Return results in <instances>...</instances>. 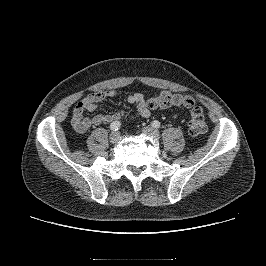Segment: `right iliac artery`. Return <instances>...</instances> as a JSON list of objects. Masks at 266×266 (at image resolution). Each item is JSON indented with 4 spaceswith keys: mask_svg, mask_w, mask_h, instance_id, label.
<instances>
[{
    "mask_svg": "<svg viewBox=\"0 0 266 266\" xmlns=\"http://www.w3.org/2000/svg\"><path fill=\"white\" fill-rule=\"evenodd\" d=\"M120 126H121V123L119 121H115L110 124V129L112 131H117L120 128Z\"/></svg>",
    "mask_w": 266,
    "mask_h": 266,
    "instance_id": "82829eb1",
    "label": "right iliac artery"
}]
</instances>
